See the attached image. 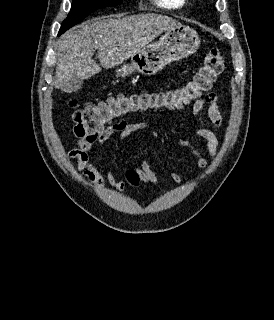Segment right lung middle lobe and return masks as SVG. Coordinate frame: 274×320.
<instances>
[{
  "mask_svg": "<svg viewBox=\"0 0 274 320\" xmlns=\"http://www.w3.org/2000/svg\"><path fill=\"white\" fill-rule=\"evenodd\" d=\"M123 0H73L71 11L64 20L59 34L80 23L90 13L100 8L119 5Z\"/></svg>",
  "mask_w": 274,
  "mask_h": 320,
  "instance_id": "dd1d6c3e",
  "label": "right lung middle lobe"
}]
</instances>
